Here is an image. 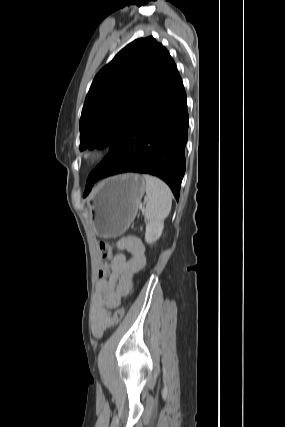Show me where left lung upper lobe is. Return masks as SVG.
I'll use <instances>...</instances> for the list:
<instances>
[{"instance_id":"1","label":"left lung upper lobe","mask_w":285,"mask_h":427,"mask_svg":"<svg viewBox=\"0 0 285 427\" xmlns=\"http://www.w3.org/2000/svg\"><path fill=\"white\" fill-rule=\"evenodd\" d=\"M172 58L150 36L125 46L95 76L80 118V150H113L143 110Z\"/></svg>"}]
</instances>
